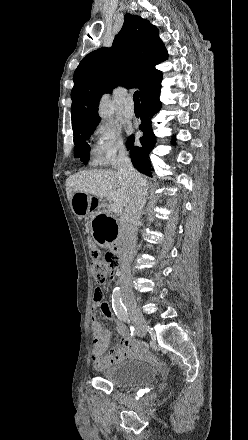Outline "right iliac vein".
I'll return each mask as SVG.
<instances>
[{
  "mask_svg": "<svg viewBox=\"0 0 248 440\" xmlns=\"http://www.w3.org/2000/svg\"><path fill=\"white\" fill-rule=\"evenodd\" d=\"M125 305L128 308L130 317L135 325V327L140 331L144 332L147 328V322L143 317L134 296H126L124 298Z\"/></svg>",
  "mask_w": 248,
  "mask_h": 440,
  "instance_id": "63e3f726",
  "label": "right iliac vein"
}]
</instances>
